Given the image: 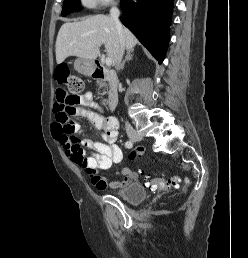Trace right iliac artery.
Here are the masks:
<instances>
[{
	"mask_svg": "<svg viewBox=\"0 0 248 258\" xmlns=\"http://www.w3.org/2000/svg\"><path fill=\"white\" fill-rule=\"evenodd\" d=\"M132 146H133V142H132V141H127V142L125 143V147H126V148H132Z\"/></svg>",
	"mask_w": 248,
	"mask_h": 258,
	"instance_id": "right-iliac-artery-1",
	"label": "right iliac artery"
}]
</instances>
